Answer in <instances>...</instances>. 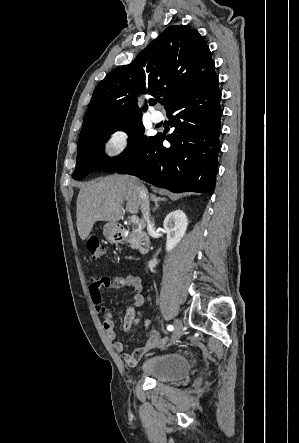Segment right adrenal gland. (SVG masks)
Segmentation results:
<instances>
[{"mask_svg":"<svg viewBox=\"0 0 299 443\" xmlns=\"http://www.w3.org/2000/svg\"><path fill=\"white\" fill-rule=\"evenodd\" d=\"M151 199L154 202L155 206L153 208V212H155L158 208H159V204L161 202H165L167 199L166 198H162V197H157L156 195L152 194L151 195ZM154 220V217L152 218Z\"/></svg>","mask_w":299,"mask_h":443,"instance_id":"1","label":"right adrenal gland"}]
</instances>
